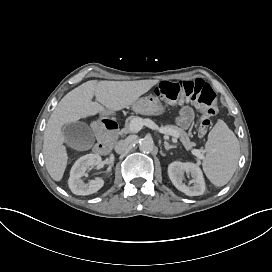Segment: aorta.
<instances>
[{"mask_svg": "<svg viewBox=\"0 0 272 272\" xmlns=\"http://www.w3.org/2000/svg\"><path fill=\"white\" fill-rule=\"evenodd\" d=\"M154 147L155 145L152 139L144 138L140 143L139 149L143 153H151L153 152Z\"/></svg>", "mask_w": 272, "mask_h": 272, "instance_id": "obj_1", "label": "aorta"}]
</instances>
